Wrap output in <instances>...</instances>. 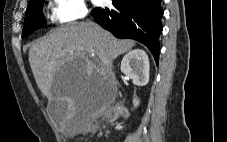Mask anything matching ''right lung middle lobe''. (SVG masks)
I'll list each match as a JSON object with an SVG mask.
<instances>
[{
    "label": "right lung middle lobe",
    "instance_id": "obj_1",
    "mask_svg": "<svg viewBox=\"0 0 227 142\" xmlns=\"http://www.w3.org/2000/svg\"><path fill=\"white\" fill-rule=\"evenodd\" d=\"M43 3L44 0H34L32 2H29L25 15V22L22 33L23 38L46 25V20L44 19L42 14Z\"/></svg>",
    "mask_w": 227,
    "mask_h": 142
}]
</instances>
